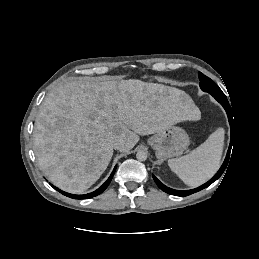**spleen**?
<instances>
[{
    "instance_id": "1",
    "label": "spleen",
    "mask_w": 259,
    "mask_h": 259,
    "mask_svg": "<svg viewBox=\"0 0 259 259\" xmlns=\"http://www.w3.org/2000/svg\"><path fill=\"white\" fill-rule=\"evenodd\" d=\"M224 134V129L219 128L187 155L169 159L170 169L189 186L195 187L206 182L220 167Z\"/></svg>"
}]
</instances>
